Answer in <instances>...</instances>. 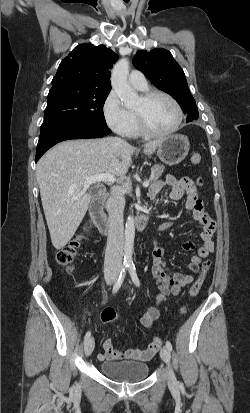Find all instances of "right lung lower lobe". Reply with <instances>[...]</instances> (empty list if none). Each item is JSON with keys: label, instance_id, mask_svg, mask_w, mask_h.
<instances>
[{"label": "right lung lower lobe", "instance_id": "1", "mask_svg": "<svg viewBox=\"0 0 250 413\" xmlns=\"http://www.w3.org/2000/svg\"><path fill=\"white\" fill-rule=\"evenodd\" d=\"M111 133L108 127L89 124H72L55 129L43 136H40L35 161L53 145L69 139L102 138Z\"/></svg>", "mask_w": 250, "mask_h": 413}]
</instances>
